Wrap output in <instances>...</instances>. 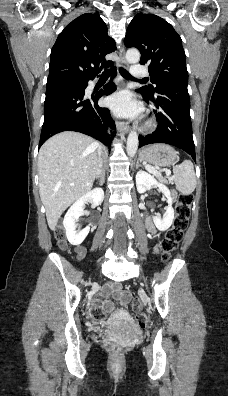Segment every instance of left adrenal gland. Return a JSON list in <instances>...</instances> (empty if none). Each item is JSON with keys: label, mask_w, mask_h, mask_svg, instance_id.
<instances>
[{"label": "left adrenal gland", "mask_w": 228, "mask_h": 396, "mask_svg": "<svg viewBox=\"0 0 228 396\" xmlns=\"http://www.w3.org/2000/svg\"><path fill=\"white\" fill-rule=\"evenodd\" d=\"M139 166L142 167V165H141L140 162L138 161L137 164H136V168H138Z\"/></svg>", "instance_id": "a2214340"}]
</instances>
